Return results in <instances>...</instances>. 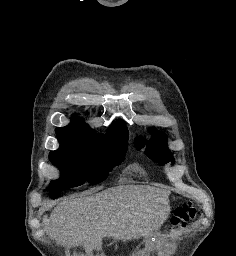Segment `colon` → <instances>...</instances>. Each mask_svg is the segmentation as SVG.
<instances>
[{"mask_svg": "<svg viewBox=\"0 0 236 256\" xmlns=\"http://www.w3.org/2000/svg\"><path fill=\"white\" fill-rule=\"evenodd\" d=\"M198 209L193 202H185L179 206L173 213L171 219V231L177 232L179 229L185 227V225L197 217Z\"/></svg>", "mask_w": 236, "mask_h": 256, "instance_id": "5ec220e1", "label": "colon"}]
</instances>
